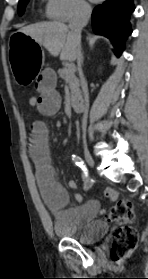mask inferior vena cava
<instances>
[{"mask_svg": "<svg viewBox=\"0 0 148 279\" xmlns=\"http://www.w3.org/2000/svg\"><path fill=\"white\" fill-rule=\"evenodd\" d=\"M91 7L88 4H80L77 7V10L75 12V15L73 19L71 20L69 24V28L73 35L77 38L78 44H77V65H78V71H79V76H80V81H81V86L84 94V103H85V108H84V114H83V119H82V130H83V140L85 142V131H86V125H87V114H88V102H89V95H88V88H87V83L85 80V77L82 72L81 68V44H80V39H81V32L83 27H85L90 19L91 16Z\"/></svg>", "mask_w": 148, "mask_h": 279, "instance_id": "obj_1", "label": "inferior vena cava"}]
</instances>
